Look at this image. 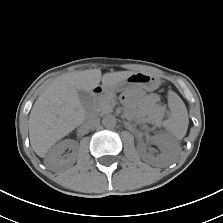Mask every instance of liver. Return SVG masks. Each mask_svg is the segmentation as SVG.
<instances>
[{
  "label": "liver",
  "mask_w": 223,
  "mask_h": 223,
  "mask_svg": "<svg viewBox=\"0 0 223 223\" xmlns=\"http://www.w3.org/2000/svg\"><path fill=\"white\" fill-rule=\"evenodd\" d=\"M132 71L105 73L90 69L66 73L55 78L35 101L29 116V137L34 152L41 158L63 137L80 126L86 117L78 90L92 92L102 81L112 86L126 80Z\"/></svg>",
  "instance_id": "1"
}]
</instances>
